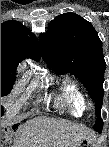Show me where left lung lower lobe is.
Here are the masks:
<instances>
[{"instance_id": "left-lung-lower-lobe-1", "label": "left lung lower lobe", "mask_w": 109, "mask_h": 147, "mask_svg": "<svg viewBox=\"0 0 109 147\" xmlns=\"http://www.w3.org/2000/svg\"><path fill=\"white\" fill-rule=\"evenodd\" d=\"M95 130H96L97 132H99V133L102 131V129H95Z\"/></svg>"}]
</instances>
